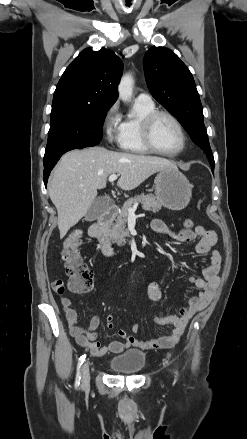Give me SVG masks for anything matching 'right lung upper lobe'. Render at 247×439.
Segmentation results:
<instances>
[{
  "instance_id": "cb5924a9",
  "label": "right lung upper lobe",
  "mask_w": 247,
  "mask_h": 439,
  "mask_svg": "<svg viewBox=\"0 0 247 439\" xmlns=\"http://www.w3.org/2000/svg\"><path fill=\"white\" fill-rule=\"evenodd\" d=\"M123 63L109 49H84L66 68L54 92L52 106L72 104L111 107Z\"/></svg>"
}]
</instances>
